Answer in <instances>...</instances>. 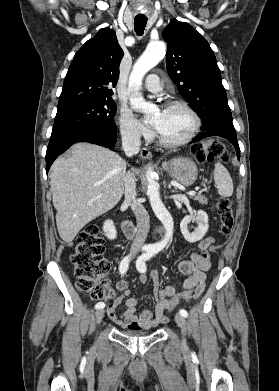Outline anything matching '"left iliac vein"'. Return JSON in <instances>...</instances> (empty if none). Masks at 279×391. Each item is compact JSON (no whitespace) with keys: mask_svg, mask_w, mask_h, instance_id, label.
<instances>
[{"mask_svg":"<svg viewBox=\"0 0 279 391\" xmlns=\"http://www.w3.org/2000/svg\"><path fill=\"white\" fill-rule=\"evenodd\" d=\"M175 321H176V323L178 324V326L182 330V335H183V337H182V346L184 348H186L187 347L186 338H185L186 330H187L186 320H185V318L182 315L176 314L175 315Z\"/></svg>","mask_w":279,"mask_h":391,"instance_id":"4c4485c4","label":"left iliac vein"}]
</instances>
